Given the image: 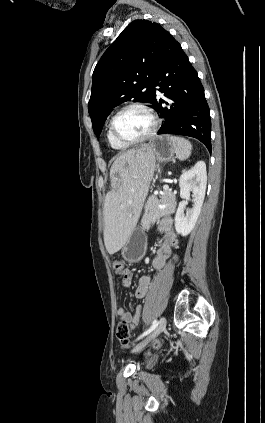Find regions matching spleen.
Returning <instances> with one entry per match:
<instances>
[{
    "label": "spleen",
    "mask_w": 265,
    "mask_h": 423,
    "mask_svg": "<svg viewBox=\"0 0 265 423\" xmlns=\"http://www.w3.org/2000/svg\"><path fill=\"white\" fill-rule=\"evenodd\" d=\"M171 141L174 146L176 157L183 161L191 155L192 145L191 143L181 137L172 136Z\"/></svg>",
    "instance_id": "3e777b00"
}]
</instances>
